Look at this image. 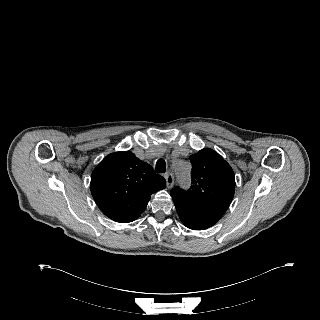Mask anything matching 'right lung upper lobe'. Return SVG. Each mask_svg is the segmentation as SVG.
<instances>
[{"mask_svg": "<svg viewBox=\"0 0 320 320\" xmlns=\"http://www.w3.org/2000/svg\"><path fill=\"white\" fill-rule=\"evenodd\" d=\"M166 181L132 152L112 153L91 175V193L100 210L110 219L132 222L146 208L151 194L164 189Z\"/></svg>", "mask_w": 320, "mask_h": 320, "instance_id": "obj_1", "label": "right lung upper lobe"}]
</instances>
